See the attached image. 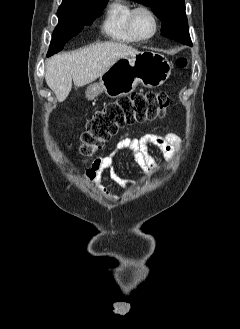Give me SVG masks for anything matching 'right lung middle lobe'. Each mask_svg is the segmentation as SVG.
<instances>
[{
    "label": "right lung middle lobe",
    "instance_id": "1",
    "mask_svg": "<svg viewBox=\"0 0 240 329\" xmlns=\"http://www.w3.org/2000/svg\"><path fill=\"white\" fill-rule=\"evenodd\" d=\"M107 2L108 0H95L61 5L57 11L59 23L54 30L47 56L60 51L85 25H90L101 14Z\"/></svg>",
    "mask_w": 240,
    "mask_h": 329
}]
</instances>
